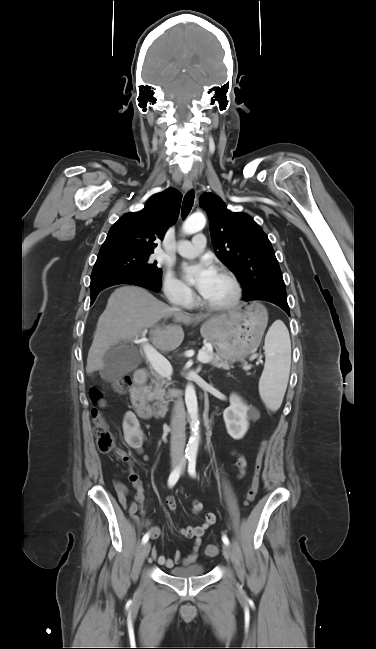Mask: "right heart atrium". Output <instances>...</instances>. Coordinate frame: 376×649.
Instances as JSON below:
<instances>
[{"label":"right heart atrium","mask_w":376,"mask_h":649,"mask_svg":"<svg viewBox=\"0 0 376 649\" xmlns=\"http://www.w3.org/2000/svg\"><path fill=\"white\" fill-rule=\"evenodd\" d=\"M162 290L167 300L178 306L188 307L194 301L192 290L169 273L164 275Z\"/></svg>","instance_id":"right-heart-atrium-1"}]
</instances>
